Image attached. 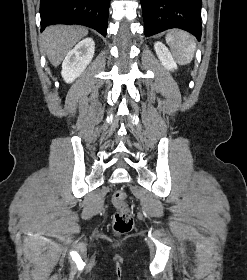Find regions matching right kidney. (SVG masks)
<instances>
[{
	"label": "right kidney",
	"instance_id": "obj_1",
	"mask_svg": "<svg viewBox=\"0 0 247 280\" xmlns=\"http://www.w3.org/2000/svg\"><path fill=\"white\" fill-rule=\"evenodd\" d=\"M95 43L92 38L80 41L69 51L62 63V77L67 83L73 82L85 70L94 56Z\"/></svg>",
	"mask_w": 247,
	"mask_h": 280
}]
</instances>
